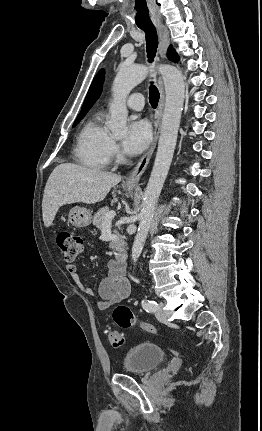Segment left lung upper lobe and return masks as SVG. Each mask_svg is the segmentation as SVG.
Wrapping results in <instances>:
<instances>
[{
	"instance_id": "5c2ea615",
	"label": "left lung upper lobe",
	"mask_w": 262,
	"mask_h": 431,
	"mask_svg": "<svg viewBox=\"0 0 262 431\" xmlns=\"http://www.w3.org/2000/svg\"><path fill=\"white\" fill-rule=\"evenodd\" d=\"M168 58L173 60V61H178L179 57L176 54L175 50L172 49V47L170 46L168 49Z\"/></svg>"
}]
</instances>
